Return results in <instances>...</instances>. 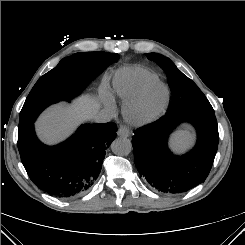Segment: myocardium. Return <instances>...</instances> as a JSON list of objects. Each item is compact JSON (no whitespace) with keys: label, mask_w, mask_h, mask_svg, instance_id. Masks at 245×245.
<instances>
[{"label":"myocardium","mask_w":245,"mask_h":245,"mask_svg":"<svg viewBox=\"0 0 245 245\" xmlns=\"http://www.w3.org/2000/svg\"><path fill=\"white\" fill-rule=\"evenodd\" d=\"M155 85L161 86L164 90V96L160 105L149 113H140V107L145 100L148 90ZM169 99L170 91L168 86L164 82L159 79L150 81L140 89L135 97L124 104L123 115L129 123L135 126H146L152 124L153 122L158 120L166 111L169 104Z\"/></svg>","instance_id":"myocardium-1"}]
</instances>
